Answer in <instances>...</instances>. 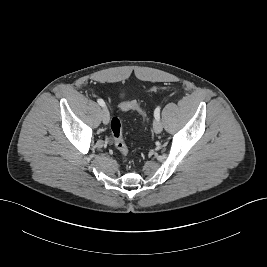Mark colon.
<instances>
[{"label": "colon", "mask_w": 267, "mask_h": 267, "mask_svg": "<svg viewBox=\"0 0 267 267\" xmlns=\"http://www.w3.org/2000/svg\"><path fill=\"white\" fill-rule=\"evenodd\" d=\"M155 90L156 88H152ZM122 110H131L137 112L142 116L144 121H147L146 112L134 101H124L119 105ZM110 132L116 149L121 153L124 158L129 155V149L123 140V126L122 122L118 117H113L110 122Z\"/></svg>", "instance_id": "colon-1"}]
</instances>
